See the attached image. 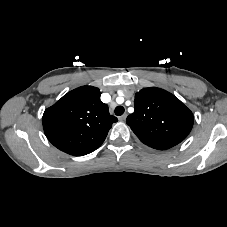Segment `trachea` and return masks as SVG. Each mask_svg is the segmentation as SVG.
<instances>
[{
	"label": "trachea",
	"mask_w": 227,
	"mask_h": 227,
	"mask_svg": "<svg viewBox=\"0 0 227 227\" xmlns=\"http://www.w3.org/2000/svg\"><path fill=\"white\" fill-rule=\"evenodd\" d=\"M125 109L123 106H117L115 108V115L121 116L124 113Z\"/></svg>",
	"instance_id": "3493384b"
}]
</instances>
